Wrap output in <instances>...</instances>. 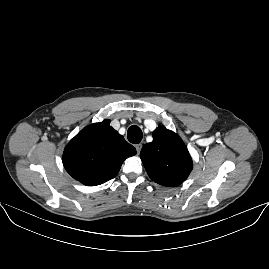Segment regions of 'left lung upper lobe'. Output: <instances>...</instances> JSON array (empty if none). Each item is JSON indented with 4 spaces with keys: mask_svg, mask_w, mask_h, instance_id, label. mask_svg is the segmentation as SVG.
I'll return each instance as SVG.
<instances>
[{
    "mask_svg": "<svg viewBox=\"0 0 269 269\" xmlns=\"http://www.w3.org/2000/svg\"><path fill=\"white\" fill-rule=\"evenodd\" d=\"M153 141L143 146L140 157L149 177L164 186L180 185L192 170V159L181 138L159 126Z\"/></svg>",
    "mask_w": 269,
    "mask_h": 269,
    "instance_id": "obj_1",
    "label": "left lung upper lobe"
}]
</instances>
